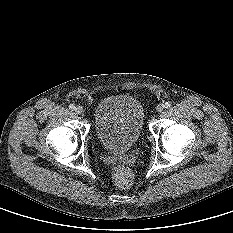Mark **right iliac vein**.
<instances>
[{"instance_id": "obj_1", "label": "right iliac vein", "mask_w": 233, "mask_h": 233, "mask_svg": "<svg viewBox=\"0 0 233 233\" xmlns=\"http://www.w3.org/2000/svg\"><path fill=\"white\" fill-rule=\"evenodd\" d=\"M75 112H76L77 114L81 115V114H83L84 109H83V107H81V106H77V107L75 108Z\"/></svg>"}]
</instances>
